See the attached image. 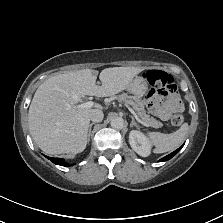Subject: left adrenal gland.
Segmentation results:
<instances>
[{"mask_svg": "<svg viewBox=\"0 0 223 223\" xmlns=\"http://www.w3.org/2000/svg\"><path fill=\"white\" fill-rule=\"evenodd\" d=\"M131 119H132V121L130 123V127L136 126L138 128L139 125L136 123V121L134 120V117L133 116H131Z\"/></svg>", "mask_w": 223, "mask_h": 223, "instance_id": "a2214340", "label": "left adrenal gland"}]
</instances>
